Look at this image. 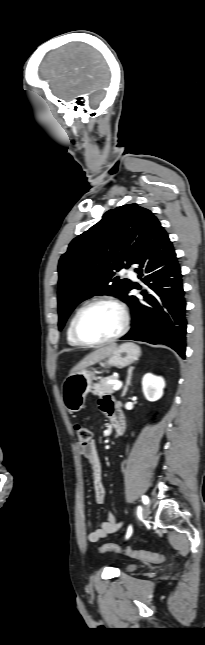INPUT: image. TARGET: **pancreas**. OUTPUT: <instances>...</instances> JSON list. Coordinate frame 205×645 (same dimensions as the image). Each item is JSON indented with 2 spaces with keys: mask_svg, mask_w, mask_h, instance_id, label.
Here are the masks:
<instances>
[{
  "mask_svg": "<svg viewBox=\"0 0 205 645\" xmlns=\"http://www.w3.org/2000/svg\"><path fill=\"white\" fill-rule=\"evenodd\" d=\"M110 380H118V377L115 376H108L103 379H101L97 384L93 386L92 393L94 395H105V394H112L114 392L113 387L114 384H110Z\"/></svg>",
  "mask_w": 205,
  "mask_h": 645,
  "instance_id": "obj_1",
  "label": "pancreas"
}]
</instances>
